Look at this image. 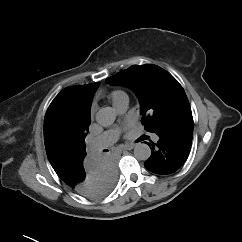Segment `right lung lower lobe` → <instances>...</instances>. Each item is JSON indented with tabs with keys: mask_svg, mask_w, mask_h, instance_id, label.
Segmentation results:
<instances>
[{
	"mask_svg": "<svg viewBox=\"0 0 242 242\" xmlns=\"http://www.w3.org/2000/svg\"><path fill=\"white\" fill-rule=\"evenodd\" d=\"M59 177L72 189L89 198H102L117 180L116 160L112 155L86 156Z\"/></svg>",
	"mask_w": 242,
	"mask_h": 242,
	"instance_id": "1",
	"label": "right lung lower lobe"
}]
</instances>
